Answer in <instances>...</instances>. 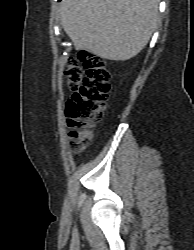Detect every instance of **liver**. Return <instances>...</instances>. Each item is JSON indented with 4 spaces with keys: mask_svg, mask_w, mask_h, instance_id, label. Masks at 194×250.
Segmentation results:
<instances>
[{
    "mask_svg": "<svg viewBox=\"0 0 194 250\" xmlns=\"http://www.w3.org/2000/svg\"><path fill=\"white\" fill-rule=\"evenodd\" d=\"M159 0H62L61 24L77 50L126 61L148 43Z\"/></svg>",
    "mask_w": 194,
    "mask_h": 250,
    "instance_id": "liver-1",
    "label": "liver"
}]
</instances>
